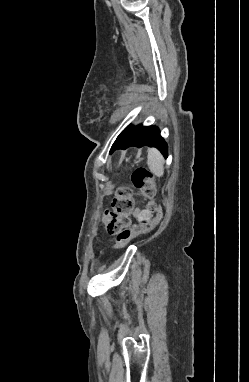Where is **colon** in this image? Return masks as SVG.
<instances>
[{
  "mask_svg": "<svg viewBox=\"0 0 249 382\" xmlns=\"http://www.w3.org/2000/svg\"><path fill=\"white\" fill-rule=\"evenodd\" d=\"M132 183L151 201L143 210V214L135 224L130 213L135 206L131 191L127 187H119L111 203V210L105 213L108 231L116 235L115 248L122 249L133 238L138 226L141 232L148 231L157 220L160 207L153 201L156 189L150 172L144 168H137L132 174Z\"/></svg>",
  "mask_w": 249,
  "mask_h": 382,
  "instance_id": "1",
  "label": "colon"
}]
</instances>
